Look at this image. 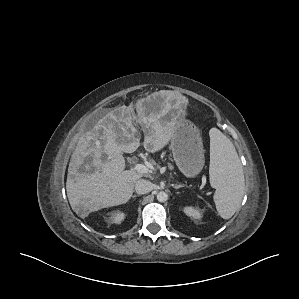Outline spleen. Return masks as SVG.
<instances>
[{"mask_svg": "<svg viewBox=\"0 0 299 299\" xmlns=\"http://www.w3.org/2000/svg\"><path fill=\"white\" fill-rule=\"evenodd\" d=\"M209 135V177L211 186L216 189L214 202L218 214L230 219L244 195V173L233 143L217 128H212Z\"/></svg>", "mask_w": 299, "mask_h": 299, "instance_id": "1", "label": "spleen"}]
</instances>
